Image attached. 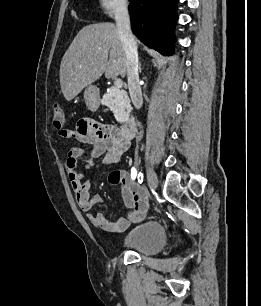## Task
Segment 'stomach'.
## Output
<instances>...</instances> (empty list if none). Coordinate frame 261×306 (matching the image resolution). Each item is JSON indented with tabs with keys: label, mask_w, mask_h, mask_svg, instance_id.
I'll list each match as a JSON object with an SVG mask.
<instances>
[{
	"label": "stomach",
	"mask_w": 261,
	"mask_h": 306,
	"mask_svg": "<svg viewBox=\"0 0 261 306\" xmlns=\"http://www.w3.org/2000/svg\"><path fill=\"white\" fill-rule=\"evenodd\" d=\"M86 106L91 111H96L100 106V95L98 87L89 85L84 90Z\"/></svg>",
	"instance_id": "stomach-1"
}]
</instances>
